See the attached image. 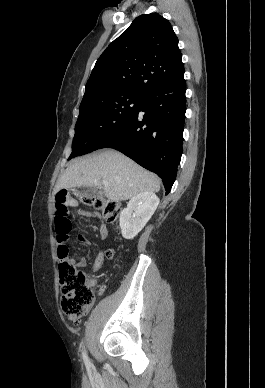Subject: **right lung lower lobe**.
<instances>
[{
    "label": "right lung lower lobe",
    "instance_id": "98d812e1",
    "mask_svg": "<svg viewBox=\"0 0 265 388\" xmlns=\"http://www.w3.org/2000/svg\"><path fill=\"white\" fill-rule=\"evenodd\" d=\"M184 76L154 86L138 109L99 147L114 148L162 178L166 194L182 155L186 111Z\"/></svg>",
    "mask_w": 265,
    "mask_h": 388
}]
</instances>
